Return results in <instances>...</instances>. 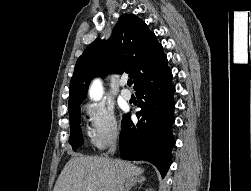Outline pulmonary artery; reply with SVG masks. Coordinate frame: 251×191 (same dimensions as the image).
<instances>
[{"instance_id": "1", "label": "pulmonary artery", "mask_w": 251, "mask_h": 191, "mask_svg": "<svg viewBox=\"0 0 251 191\" xmlns=\"http://www.w3.org/2000/svg\"><path fill=\"white\" fill-rule=\"evenodd\" d=\"M119 85L121 87V95L123 98H125L126 100L131 99L132 97V93L131 91L126 87L127 85V80L125 78H121L119 81Z\"/></svg>"}]
</instances>
